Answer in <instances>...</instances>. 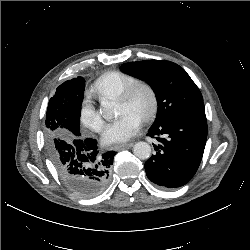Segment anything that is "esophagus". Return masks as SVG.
Wrapping results in <instances>:
<instances>
[{
    "label": "esophagus",
    "mask_w": 250,
    "mask_h": 250,
    "mask_svg": "<svg viewBox=\"0 0 250 250\" xmlns=\"http://www.w3.org/2000/svg\"><path fill=\"white\" fill-rule=\"evenodd\" d=\"M132 145H133L132 142H130V143H125V144H119V145L114 146V149H115V150H121V149H124V148H129V147H131Z\"/></svg>",
    "instance_id": "1"
}]
</instances>
